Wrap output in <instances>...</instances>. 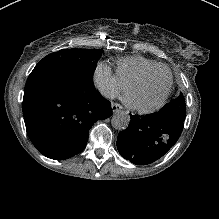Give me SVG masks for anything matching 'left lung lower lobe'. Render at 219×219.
Here are the masks:
<instances>
[{"label": "left lung lower lobe", "instance_id": "obj_1", "mask_svg": "<svg viewBox=\"0 0 219 219\" xmlns=\"http://www.w3.org/2000/svg\"><path fill=\"white\" fill-rule=\"evenodd\" d=\"M183 122L158 113L142 119L131 116L129 128L118 135V151L134 164L152 163L176 143L184 126Z\"/></svg>", "mask_w": 219, "mask_h": 219}]
</instances>
